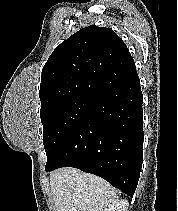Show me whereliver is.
Segmentation results:
<instances>
[{"instance_id":"1","label":"liver","mask_w":178,"mask_h":211,"mask_svg":"<svg viewBox=\"0 0 178 211\" xmlns=\"http://www.w3.org/2000/svg\"><path fill=\"white\" fill-rule=\"evenodd\" d=\"M50 188L56 211H105L118 191L104 179L75 168L51 173Z\"/></svg>"}]
</instances>
